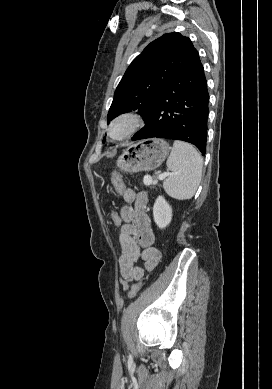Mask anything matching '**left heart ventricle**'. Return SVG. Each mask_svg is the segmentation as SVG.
I'll return each mask as SVG.
<instances>
[{
	"label": "left heart ventricle",
	"instance_id": "1",
	"mask_svg": "<svg viewBox=\"0 0 272 389\" xmlns=\"http://www.w3.org/2000/svg\"><path fill=\"white\" fill-rule=\"evenodd\" d=\"M123 131H124V127L123 126H118V127H116L114 129L113 134L114 135H120Z\"/></svg>",
	"mask_w": 272,
	"mask_h": 389
}]
</instances>
